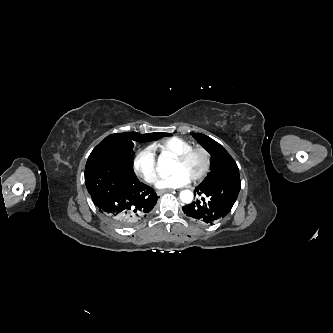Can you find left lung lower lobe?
<instances>
[{
  "mask_svg": "<svg viewBox=\"0 0 333 333\" xmlns=\"http://www.w3.org/2000/svg\"><path fill=\"white\" fill-rule=\"evenodd\" d=\"M241 187L240 177H229L211 183L208 186L199 185L195 193L209 198L208 202L200 204L193 202L183 207V212L195 221L213 224L223 219L232 209Z\"/></svg>",
  "mask_w": 333,
  "mask_h": 333,
  "instance_id": "obj_1",
  "label": "left lung lower lobe"
}]
</instances>
